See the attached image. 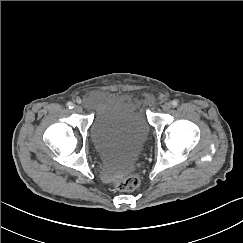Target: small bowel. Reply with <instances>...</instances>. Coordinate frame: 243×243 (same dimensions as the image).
Returning <instances> with one entry per match:
<instances>
[{"mask_svg":"<svg viewBox=\"0 0 243 243\" xmlns=\"http://www.w3.org/2000/svg\"><path fill=\"white\" fill-rule=\"evenodd\" d=\"M114 98V95L105 92H96L91 94L87 101L91 104V106L96 108H101L103 105L109 103Z\"/></svg>","mask_w":243,"mask_h":243,"instance_id":"obj_1","label":"small bowel"}]
</instances>
